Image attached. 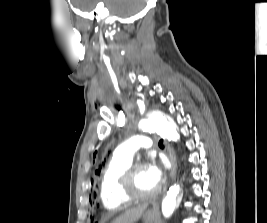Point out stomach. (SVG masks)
<instances>
[{"label": "stomach", "instance_id": "stomach-1", "mask_svg": "<svg viewBox=\"0 0 267 223\" xmlns=\"http://www.w3.org/2000/svg\"><path fill=\"white\" fill-rule=\"evenodd\" d=\"M144 223H159V215L156 208L149 209L143 215Z\"/></svg>", "mask_w": 267, "mask_h": 223}]
</instances>
